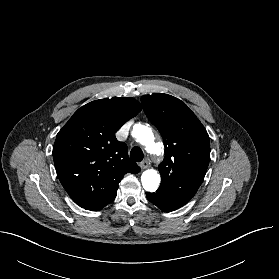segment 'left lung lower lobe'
Here are the masks:
<instances>
[{"mask_svg": "<svg viewBox=\"0 0 279 279\" xmlns=\"http://www.w3.org/2000/svg\"><path fill=\"white\" fill-rule=\"evenodd\" d=\"M147 199L160 208L164 212L174 211L183 205H185L188 201L182 199H174L169 197L161 196L157 193H146Z\"/></svg>", "mask_w": 279, "mask_h": 279, "instance_id": "1", "label": "left lung lower lobe"}]
</instances>
